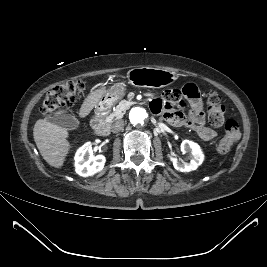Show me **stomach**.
<instances>
[{
    "label": "stomach",
    "instance_id": "stomach-1",
    "mask_svg": "<svg viewBox=\"0 0 267 267\" xmlns=\"http://www.w3.org/2000/svg\"><path fill=\"white\" fill-rule=\"evenodd\" d=\"M127 79L129 84L136 87L162 88L176 81L178 75L173 71L164 69L136 67L128 71ZM126 87L124 81H118L108 90H105L95 105L96 112L100 113L112 107L124 96Z\"/></svg>",
    "mask_w": 267,
    "mask_h": 267
}]
</instances>
